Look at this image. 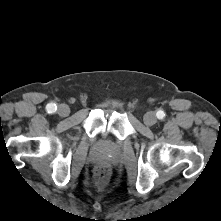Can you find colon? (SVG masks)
<instances>
[{"label":"colon","mask_w":221,"mask_h":221,"mask_svg":"<svg viewBox=\"0 0 221 221\" xmlns=\"http://www.w3.org/2000/svg\"><path fill=\"white\" fill-rule=\"evenodd\" d=\"M109 178V169L106 166H99L96 169V177H95V187L100 190L102 189Z\"/></svg>","instance_id":"colon-1"}]
</instances>
